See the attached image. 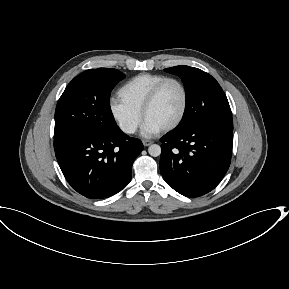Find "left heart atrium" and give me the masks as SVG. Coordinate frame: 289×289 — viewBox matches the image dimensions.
I'll use <instances>...</instances> for the list:
<instances>
[{"label": "left heart atrium", "instance_id": "39dd6f15", "mask_svg": "<svg viewBox=\"0 0 289 289\" xmlns=\"http://www.w3.org/2000/svg\"><path fill=\"white\" fill-rule=\"evenodd\" d=\"M160 131H161V128L159 126H157L156 124H154L148 120L144 121V123L142 125V129H141V133L145 137L153 136Z\"/></svg>", "mask_w": 289, "mask_h": 289}]
</instances>
